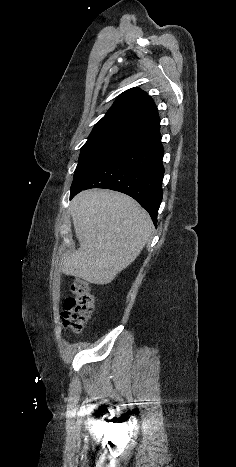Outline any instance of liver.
<instances>
[{"instance_id": "6515ba94", "label": "liver", "mask_w": 236, "mask_h": 467, "mask_svg": "<svg viewBox=\"0 0 236 467\" xmlns=\"http://www.w3.org/2000/svg\"><path fill=\"white\" fill-rule=\"evenodd\" d=\"M70 212L80 247L64 254L61 271L97 285L112 282L140 254L153 223L131 197L105 189L78 194Z\"/></svg>"}]
</instances>
